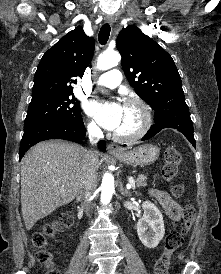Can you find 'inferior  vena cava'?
I'll list each match as a JSON object with an SVG mask.
<instances>
[{
	"mask_svg": "<svg viewBox=\"0 0 221 274\" xmlns=\"http://www.w3.org/2000/svg\"><path fill=\"white\" fill-rule=\"evenodd\" d=\"M89 140L91 143H95L97 139L103 137V133L96 125L88 127ZM98 155L95 150H87L83 160V172L81 182L79 186L78 196L83 202V205L88 211L90 208L89 199L92 197L96 188V169H97Z\"/></svg>",
	"mask_w": 221,
	"mask_h": 274,
	"instance_id": "602c4592",
	"label": "inferior vena cava"
}]
</instances>
